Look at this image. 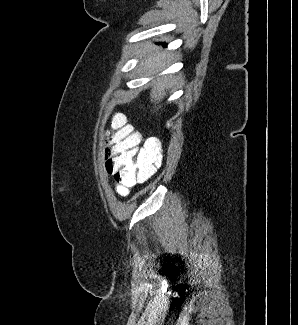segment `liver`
<instances>
[{
  "instance_id": "liver-1",
  "label": "liver",
  "mask_w": 298,
  "mask_h": 325,
  "mask_svg": "<svg viewBox=\"0 0 298 325\" xmlns=\"http://www.w3.org/2000/svg\"><path fill=\"white\" fill-rule=\"evenodd\" d=\"M159 46L156 44H147L143 50V56H145L142 64L145 68H148L149 72H153L155 68H164L167 56H172V52H165V50H158ZM170 80L168 76H165L164 80H158L157 84H154L150 92V100L157 104L154 106V110L161 108L159 104L160 100H163L166 94V88H168Z\"/></svg>"
}]
</instances>
